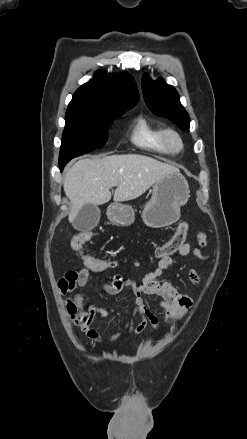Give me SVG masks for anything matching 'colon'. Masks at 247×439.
<instances>
[{"label": "colon", "instance_id": "obj_1", "mask_svg": "<svg viewBox=\"0 0 247 439\" xmlns=\"http://www.w3.org/2000/svg\"><path fill=\"white\" fill-rule=\"evenodd\" d=\"M188 229V223L181 222L177 226L173 236L166 243L156 249L155 257L158 259H163L166 257H170L178 252L185 242ZM91 237L92 234L89 231H82L77 233L71 241L72 249L80 257L84 266L92 272H103L112 268L114 265L112 261L95 257L82 251L84 245L90 241Z\"/></svg>", "mask_w": 247, "mask_h": 439}]
</instances>
